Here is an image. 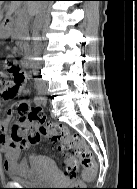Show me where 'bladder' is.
<instances>
[{"mask_svg": "<svg viewBox=\"0 0 137 189\" xmlns=\"http://www.w3.org/2000/svg\"><path fill=\"white\" fill-rule=\"evenodd\" d=\"M59 170L55 161L49 156L40 157L33 166L23 171L8 172L13 182L23 185H48L59 178Z\"/></svg>", "mask_w": 137, "mask_h": 189, "instance_id": "1", "label": "bladder"}]
</instances>
